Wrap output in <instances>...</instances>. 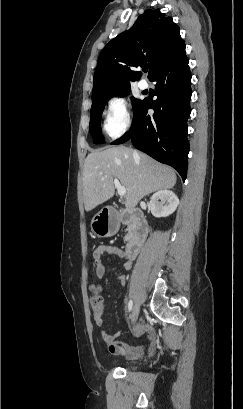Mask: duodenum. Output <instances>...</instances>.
I'll return each instance as SVG.
<instances>
[{
    "label": "duodenum",
    "instance_id": "duodenum-1",
    "mask_svg": "<svg viewBox=\"0 0 243 409\" xmlns=\"http://www.w3.org/2000/svg\"><path fill=\"white\" fill-rule=\"evenodd\" d=\"M110 211L116 212V209L111 207ZM125 222H131L132 228L129 233V240L125 249L128 258L136 257L148 234L147 220L144 214L136 208L130 209L123 214Z\"/></svg>",
    "mask_w": 243,
    "mask_h": 409
}]
</instances>
